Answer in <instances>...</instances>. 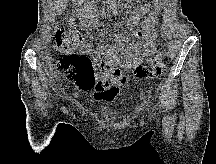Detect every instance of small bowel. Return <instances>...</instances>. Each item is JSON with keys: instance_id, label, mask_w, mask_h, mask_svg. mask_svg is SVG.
<instances>
[{"instance_id": "1", "label": "small bowel", "mask_w": 216, "mask_h": 164, "mask_svg": "<svg viewBox=\"0 0 216 164\" xmlns=\"http://www.w3.org/2000/svg\"><path fill=\"white\" fill-rule=\"evenodd\" d=\"M159 9L160 0L136 8L126 21L129 28L128 36H113V44L104 40L106 32H97L100 41L96 49L89 46L87 51L95 55L96 59L101 60L102 56L108 69L103 72L101 83L96 87V100L110 101L121 94L123 86L128 82L127 76L122 72L123 69L135 70L141 67L144 61L152 64L158 60L153 55L158 53L156 27ZM79 40L88 44L83 36H80Z\"/></svg>"}]
</instances>
